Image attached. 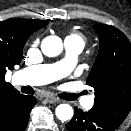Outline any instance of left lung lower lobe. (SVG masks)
Segmentation results:
<instances>
[{
	"label": "left lung lower lobe",
	"instance_id": "1",
	"mask_svg": "<svg viewBox=\"0 0 131 131\" xmlns=\"http://www.w3.org/2000/svg\"><path fill=\"white\" fill-rule=\"evenodd\" d=\"M66 128L68 131H114L118 127L94 108L88 112H83L74 107V116L66 124Z\"/></svg>",
	"mask_w": 131,
	"mask_h": 131
}]
</instances>
